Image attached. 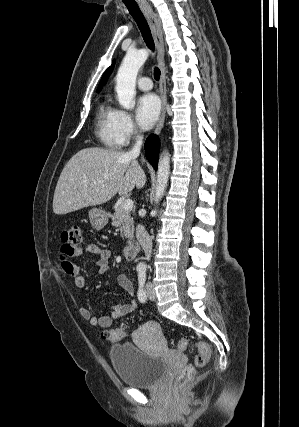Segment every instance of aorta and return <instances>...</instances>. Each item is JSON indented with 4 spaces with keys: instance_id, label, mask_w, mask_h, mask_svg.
<instances>
[{
    "instance_id": "obj_1",
    "label": "aorta",
    "mask_w": 299,
    "mask_h": 427,
    "mask_svg": "<svg viewBox=\"0 0 299 427\" xmlns=\"http://www.w3.org/2000/svg\"><path fill=\"white\" fill-rule=\"evenodd\" d=\"M149 55L148 50L128 51L119 67L116 76V92L118 102L124 109H132L135 105L136 77L139 69ZM170 173V155L164 151L158 162L155 202L158 203L164 195ZM143 265V264H141Z\"/></svg>"
}]
</instances>
